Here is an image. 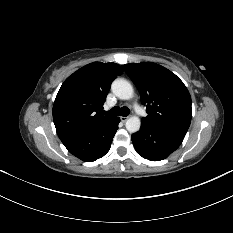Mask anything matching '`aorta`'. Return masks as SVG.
<instances>
[{
	"label": "aorta",
	"instance_id": "1",
	"mask_svg": "<svg viewBox=\"0 0 233 233\" xmlns=\"http://www.w3.org/2000/svg\"><path fill=\"white\" fill-rule=\"evenodd\" d=\"M111 90L116 97L122 100H129L133 97L132 85L123 78L115 79L111 85ZM141 127V120L138 116H132L126 121V129L130 133L139 131Z\"/></svg>",
	"mask_w": 233,
	"mask_h": 233
}]
</instances>
